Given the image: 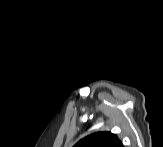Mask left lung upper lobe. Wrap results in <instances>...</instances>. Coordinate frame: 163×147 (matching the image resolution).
I'll return each mask as SVG.
<instances>
[{"mask_svg": "<svg viewBox=\"0 0 163 147\" xmlns=\"http://www.w3.org/2000/svg\"><path fill=\"white\" fill-rule=\"evenodd\" d=\"M120 140L111 132H97L80 140L74 147H118Z\"/></svg>", "mask_w": 163, "mask_h": 147, "instance_id": "1", "label": "left lung upper lobe"}]
</instances>
